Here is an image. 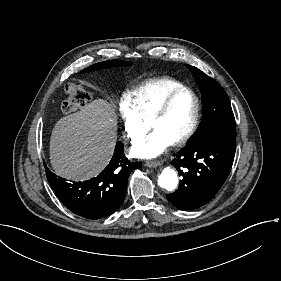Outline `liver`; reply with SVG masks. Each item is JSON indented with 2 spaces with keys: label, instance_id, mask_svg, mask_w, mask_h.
<instances>
[{
  "label": "liver",
  "instance_id": "6515ba94",
  "mask_svg": "<svg viewBox=\"0 0 281 281\" xmlns=\"http://www.w3.org/2000/svg\"><path fill=\"white\" fill-rule=\"evenodd\" d=\"M116 139L117 118L111 105L94 100L57 121L50 138L51 164L64 178L89 179L109 164Z\"/></svg>",
  "mask_w": 281,
  "mask_h": 281
}]
</instances>
